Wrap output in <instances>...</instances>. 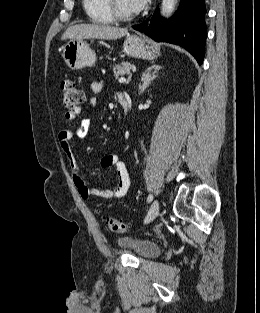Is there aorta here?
<instances>
[{
	"label": "aorta",
	"mask_w": 260,
	"mask_h": 313,
	"mask_svg": "<svg viewBox=\"0 0 260 313\" xmlns=\"http://www.w3.org/2000/svg\"><path fill=\"white\" fill-rule=\"evenodd\" d=\"M177 3V0H162L161 14L163 16H169Z\"/></svg>",
	"instance_id": "obj_1"
}]
</instances>
